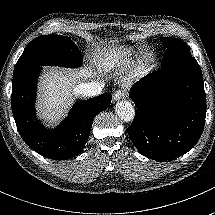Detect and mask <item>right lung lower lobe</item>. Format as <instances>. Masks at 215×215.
Segmentation results:
<instances>
[{
	"label": "right lung lower lobe",
	"mask_w": 215,
	"mask_h": 215,
	"mask_svg": "<svg viewBox=\"0 0 215 215\" xmlns=\"http://www.w3.org/2000/svg\"><path fill=\"white\" fill-rule=\"evenodd\" d=\"M41 66L24 68L13 74L11 107L17 129L26 144L53 160H68L79 155L90 135L95 116L109 107V93L78 101L57 128L48 130L35 114L36 81Z\"/></svg>",
	"instance_id": "right-lung-lower-lobe-1"
}]
</instances>
